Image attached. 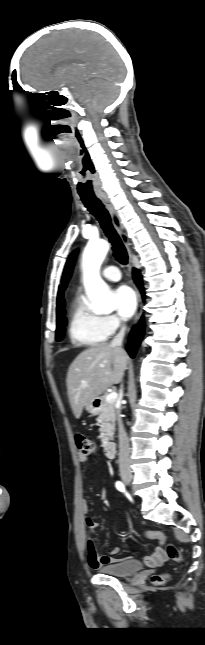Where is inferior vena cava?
Segmentation results:
<instances>
[{
  "instance_id": "inferior-vena-cava-1",
  "label": "inferior vena cava",
  "mask_w": 205,
  "mask_h": 645,
  "mask_svg": "<svg viewBox=\"0 0 205 645\" xmlns=\"http://www.w3.org/2000/svg\"><path fill=\"white\" fill-rule=\"evenodd\" d=\"M126 326H122L119 333L113 338L111 346L121 347L125 335ZM119 428V468L120 471L130 472V448L127 433L121 419L120 409L117 411Z\"/></svg>"
}]
</instances>
